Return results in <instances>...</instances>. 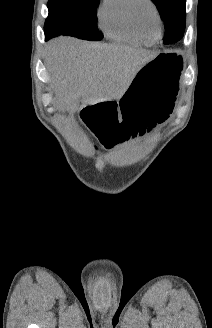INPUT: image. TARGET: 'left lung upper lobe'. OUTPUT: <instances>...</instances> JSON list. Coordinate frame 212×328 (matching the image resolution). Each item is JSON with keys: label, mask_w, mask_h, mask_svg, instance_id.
Here are the masks:
<instances>
[{"label": "left lung upper lobe", "mask_w": 212, "mask_h": 328, "mask_svg": "<svg viewBox=\"0 0 212 328\" xmlns=\"http://www.w3.org/2000/svg\"><path fill=\"white\" fill-rule=\"evenodd\" d=\"M165 25L164 44L179 41L185 30V0H151Z\"/></svg>", "instance_id": "obj_1"}]
</instances>
